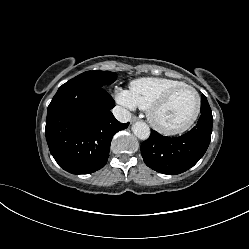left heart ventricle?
<instances>
[{"label":"left heart ventricle","mask_w":249,"mask_h":249,"mask_svg":"<svg viewBox=\"0 0 249 249\" xmlns=\"http://www.w3.org/2000/svg\"><path fill=\"white\" fill-rule=\"evenodd\" d=\"M195 107V94L189 89H182L156 112V120L166 128H177L191 118Z\"/></svg>","instance_id":"obj_1"}]
</instances>
